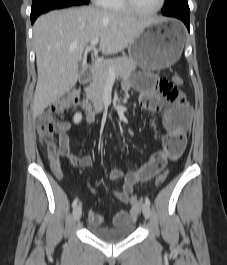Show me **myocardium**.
Returning <instances> with one entry per match:
<instances>
[{"label": "myocardium", "instance_id": "myocardium-1", "mask_svg": "<svg viewBox=\"0 0 227 265\" xmlns=\"http://www.w3.org/2000/svg\"><path fill=\"white\" fill-rule=\"evenodd\" d=\"M123 2L130 12L137 15L149 16L158 13L164 7L166 0H160L158 6L149 11H143L138 9L133 0H123Z\"/></svg>", "mask_w": 227, "mask_h": 265}]
</instances>
